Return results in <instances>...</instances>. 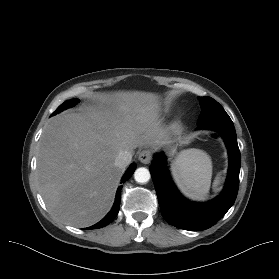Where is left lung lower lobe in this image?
I'll list each match as a JSON object with an SVG mask.
<instances>
[{"instance_id": "0a47b994", "label": "left lung lower lobe", "mask_w": 279, "mask_h": 279, "mask_svg": "<svg viewBox=\"0 0 279 279\" xmlns=\"http://www.w3.org/2000/svg\"><path fill=\"white\" fill-rule=\"evenodd\" d=\"M199 128L219 132L228 149V177L220 196L206 204L187 201L172 183L162 155H156L150 167L163 218L175 227L190 231L205 230L216 224L233 205L239 187L240 151L232 120L207 122Z\"/></svg>"}]
</instances>
